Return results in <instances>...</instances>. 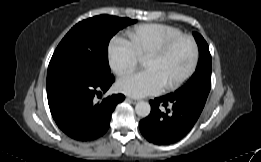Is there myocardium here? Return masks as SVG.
<instances>
[{
  "label": "myocardium",
  "mask_w": 261,
  "mask_h": 162,
  "mask_svg": "<svg viewBox=\"0 0 261 162\" xmlns=\"http://www.w3.org/2000/svg\"><path fill=\"white\" fill-rule=\"evenodd\" d=\"M181 40H188L191 43L192 49H193L192 62H191L189 69L180 78H178L176 81L164 86V89L166 91H171V90L177 89L194 74V72L197 68L198 62H199V47H198V44H197L195 38L188 34H181V35L175 36V37L165 41L163 44H161L154 50H152L145 57V59L150 58V57H162V56L166 55Z\"/></svg>",
  "instance_id": "f54148a6"
}]
</instances>
